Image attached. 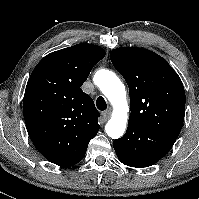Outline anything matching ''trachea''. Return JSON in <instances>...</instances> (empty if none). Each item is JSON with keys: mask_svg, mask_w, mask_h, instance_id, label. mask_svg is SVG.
Instances as JSON below:
<instances>
[{"mask_svg": "<svg viewBox=\"0 0 199 199\" xmlns=\"http://www.w3.org/2000/svg\"><path fill=\"white\" fill-rule=\"evenodd\" d=\"M96 106H97V108L100 111H104V110L107 109V103H106L105 99L102 96H100V97L97 98V100H96Z\"/></svg>", "mask_w": 199, "mask_h": 199, "instance_id": "trachea-1", "label": "trachea"}]
</instances>
